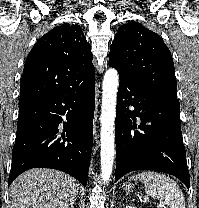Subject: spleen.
<instances>
[{"label":"spleen","mask_w":199,"mask_h":208,"mask_svg":"<svg viewBox=\"0 0 199 208\" xmlns=\"http://www.w3.org/2000/svg\"><path fill=\"white\" fill-rule=\"evenodd\" d=\"M131 180L143 181L146 194L154 199L164 200L169 208H186L184 195L176 184L164 174L153 171L138 173Z\"/></svg>","instance_id":"1"}]
</instances>
